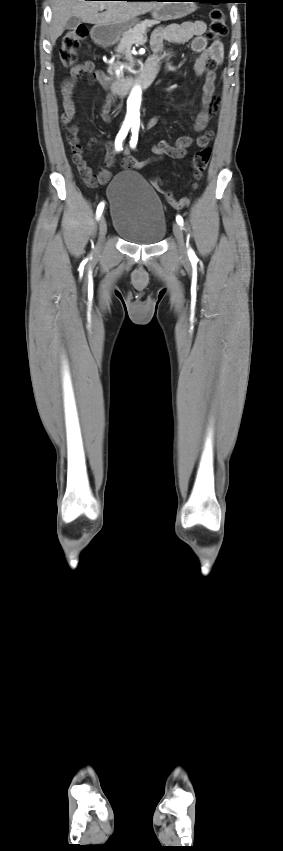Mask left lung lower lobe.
<instances>
[{
  "mask_svg": "<svg viewBox=\"0 0 283 851\" xmlns=\"http://www.w3.org/2000/svg\"><path fill=\"white\" fill-rule=\"evenodd\" d=\"M198 2H211L217 4L218 2H222V0H198Z\"/></svg>",
  "mask_w": 283,
  "mask_h": 851,
  "instance_id": "1",
  "label": "left lung lower lobe"
}]
</instances>
